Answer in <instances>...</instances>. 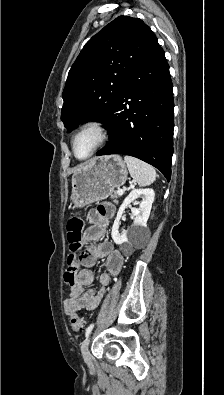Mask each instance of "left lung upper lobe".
<instances>
[{"label": "left lung upper lobe", "instance_id": "5c2ea615", "mask_svg": "<svg viewBox=\"0 0 224 395\" xmlns=\"http://www.w3.org/2000/svg\"><path fill=\"white\" fill-rule=\"evenodd\" d=\"M157 43L142 20L119 16L94 35L72 65L61 120L72 131L87 120L107 124L132 72Z\"/></svg>", "mask_w": 224, "mask_h": 395}]
</instances>
